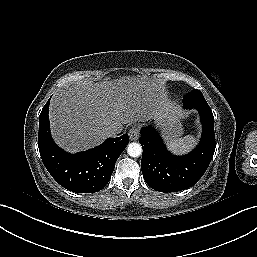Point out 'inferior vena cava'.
Returning a JSON list of instances; mask_svg holds the SVG:
<instances>
[{"label":"inferior vena cava","instance_id":"inferior-vena-cava-1","mask_svg":"<svg viewBox=\"0 0 257 257\" xmlns=\"http://www.w3.org/2000/svg\"><path fill=\"white\" fill-rule=\"evenodd\" d=\"M116 131L115 130H109L106 132L107 137H116Z\"/></svg>","mask_w":257,"mask_h":257}]
</instances>
